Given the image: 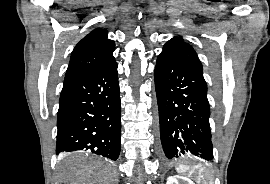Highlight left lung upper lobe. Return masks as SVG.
<instances>
[{
  "mask_svg": "<svg viewBox=\"0 0 270 184\" xmlns=\"http://www.w3.org/2000/svg\"><path fill=\"white\" fill-rule=\"evenodd\" d=\"M162 53L171 54L183 59L197 72L203 75L202 64L195 50L188 43L184 42L182 37H173L164 45Z\"/></svg>",
  "mask_w": 270,
  "mask_h": 184,
  "instance_id": "1",
  "label": "left lung upper lobe"
}]
</instances>
